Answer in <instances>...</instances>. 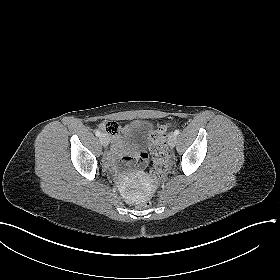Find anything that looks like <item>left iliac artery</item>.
<instances>
[{"mask_svg": "<svg viewBox=\"0 0 280 280\" xmlns=\"http://www.w3.org/2000/svg\"><path fill=\"white\" fill-rule=\"evenodd\" d=\"M179 133H180L179 130H175V131H174V134H175L176 136H177Z\"/></svg>", "mask_w": 280, "mask_h": 280, "instance_id": "obj_1", "label": "left iliac artery"}]
</instances>
